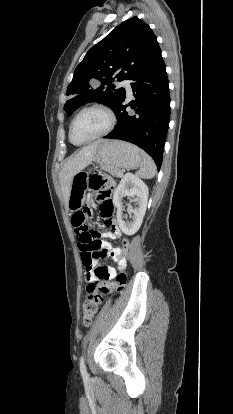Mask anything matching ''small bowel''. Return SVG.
Returning a JSON list of instances; mask_svg holds the SVG:
<instances>
[{"label": "small bowel", "mask_w": 233, "mask_h": 414, "mask_svg": "<svg viewBox=\"0 0 233 414\" xmlns=\"http://www.w3.org/2000/svg\"><path fill=\"white\" fill-rule=\"evenodd\" d=\"M97 195H98V193H97ZM103 219L105 221V224L109 227V231L105 232L103 234L104 237H108V238H111V239H119L122 236V232H121L120 228L118 227L117 222L113 218V216L110 215L109 217L103 218ZM77 236H78V232H77ZM102 248H103V251H104L103 258L109 257V258L113 259L114 261H116L118 263V270L115 269L114 267H111V266H104L107 269L106 279H114V278L117 277V275L121 271V269H123V267L127 266V261L121 262L114 256V252H116L118 250V248H112V246L108 243H102ZM98 267H100V266H98L97 262L95 261L94 264H93V267L90 270L86 271V279L89 282V284L96 283L98 281L99 278L96 274V269Z\"/></svg>", "instance_id": "obj_1"}]
</instances>
